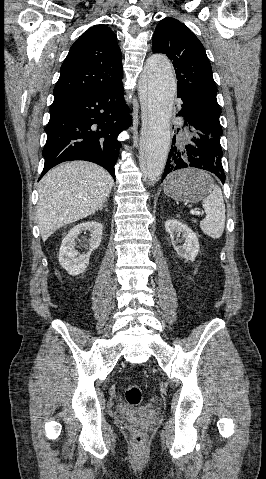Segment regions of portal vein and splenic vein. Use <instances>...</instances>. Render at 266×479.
Wrapping results in <instances>:
<instances>
[{
	"label": "portal vein and splenic vein",
	"instance_id": "obj_1",
	"mask_svg": "<svg viewBox=\"0 0 266 479\" xmlns=\"http://www.w3.org/2000/svg\"><path fill=\"white\" fill-rule=\"evenodd\" d=\"M191 215H195V216H201L202 213L200 211H196V210H192L191 212Z\"/></svg>",
	"mask_w": 266,
	"mask_h": 479
}]
</instances>
